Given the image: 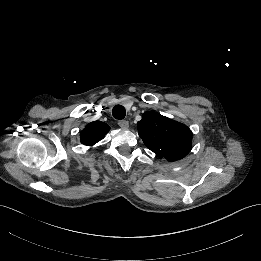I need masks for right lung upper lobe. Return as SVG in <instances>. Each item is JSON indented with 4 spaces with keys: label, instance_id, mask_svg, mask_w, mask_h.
<instances>
[{
    "label": "right lung upper lobe",
    "instance_id": "right-lung-upper-lobe-1",
    "mask_svg": "<svg viewBox=\"0 0 261 261\" xmlns=\"http://www.w3.org/2000/svg\"><path fill=\"white\" fill-rule=\"evenodd\" d=\"M109 129L110 127L104 122H91L86 125L84 130L80 133L81 143L87 146H92L99 142L109 131Z\"/></svg>",
    "mask_w": 261,
    "mask_h": 261
}]
</instances>
